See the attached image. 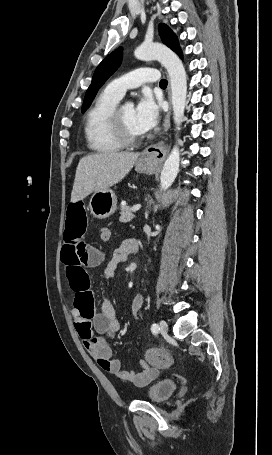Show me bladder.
I'll return each instance as SVG.
<instances>
[{
  "instance_id": "obj_1",
  "label": "bladder",
  "mask_w": 272,
  "mask_h": 455,
  "mask_svg": "<svg viewBox=\"0 0 272 455\" xmlns=\"http://www.w3.org/2000/svg\"><path fill=\"white\" fill-rule=\"evenodd\" d=\"M176 383L170 378H162L150 384L146 391V397L154 403L167 400L175 391Z\"/></svg>"
}]
</instances>
